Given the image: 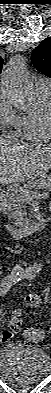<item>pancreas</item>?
Here are the masks:
<instances>
[{"label": "pancreas", "instance_id": "pancreas-1", "mask_svg": "<svg viewBox=\"0 0 51 393\" xmlns=\"http://www.w3.org/2000/svg\"><path fill=\"white\" fill-rule=\"evenodd\" d=\"M50 189L51 188V178L44 176L32 183L25 184L22 187L14 188L8 198V211L9 219L12 220L13 224L17 227L23 228L27 227L32 223V220L27 217V204L30 202L26 198L25 192L30 194L35 193L33 189Z\"/></svg>", "mask_w": 51, "mask_h": 393}]
</instances>
